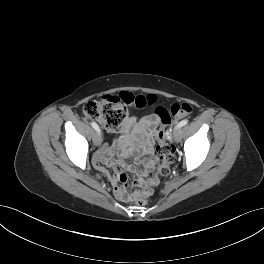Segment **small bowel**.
<instances>
[{"label":"small bowel","mask_w":264,"mask_h":264,"mask_svg":"<svg viewBox=\"0 0 264 264\" xmlns=\"http://www.w3.org/2000/svg\"><path fill=\"white\" fill-rule=\"evenodd\" d=\"M157 118L155 116H146L141 119L130 116L126 119L124 129L112 144L103 146L94 157V163L99 171H104V164L108 165L113 172L112 186L115 195L124 200L130 191L127 186V175L125 170L135 172L138 180L149 171H151L157 161L154 150V135ZM134 142V144H133ZM119 148V159H113L114 149ZM146 154L147 158L143 161V169H138L135 165L126 163L123 159L132 155L135 163L138 165L142 162V155Z\"/></svg>","instance_id":"1"}]
</instances>
